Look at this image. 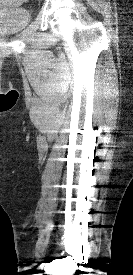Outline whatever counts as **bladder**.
<instances>
[{
  "label": "bladder",
  "instance_id": "bladder-1",
  "mask_svg": "<svg viewBox=\"0 0 133 275\" xmlns=\"http://www.w3.org/2000/svg\"><path fill=\"white\" fill-rule=\"evenodd\" d=\"M16 0H0V31L19 32L31 20L30 11L14 3Z\"/></svg>",
  "mask_w": 133,
  "mask_h": 275
}]
</instances>
